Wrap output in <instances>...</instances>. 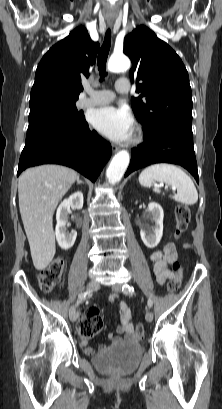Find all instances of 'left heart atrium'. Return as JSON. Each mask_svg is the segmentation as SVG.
I'll return each instance as SVG.
<instances>
[{
    "label": "left heart atrium",
    "instance_id": "39dd6f15",
    "mask_svg": "<svg viewBox=\"0 0 222 409\" xmlns=\"http://www.w3.org/2000/svg\"><path fill=\"white\" fill-rule=\"evenodd\" d=\"M90 123L101 134L115 142L129 140L134 132V120L124 107L106 106L94 110Z\"/></svg>",
    "mask_w": 222,
    "mask_h": 409
}]
</instances>
